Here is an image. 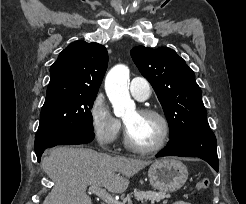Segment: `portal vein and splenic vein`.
Returning <instances> with one entry per match:
<instances>
[{
	"label": "portal vein and splenic vein",
	"mask_w": 246,
	"mask_h": 204,
	"mask_svg": "<svg viewBox=\"0 0 246 204\" xmlns=\"http://www.w3.org/2000/svg\"><path fill=\"white\" fill-rule=\"evenodd\" d=\"M88 190L91 193L98 195L107 204H122L121 201L116 200L110 193L106 191L103 187L89 186Z\"/></svg>",
	"instance_id": "18ae733b"
}]
</instances>
